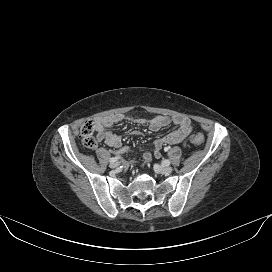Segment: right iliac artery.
Instances as JSON below:
<instances>
[{
  "mask_svg": "<svg viewBox=\"0 0 272 272\" xmlns=\"http://www.w3.org/2000/svg\"><path fill=\"white\" fill-rule=\"evenodd\" d=\"M127 149H128V148H125V149L119 151V152H118V156L110 158V159H109L110 163L116 162V161L120 158V154H122L123 151H125V150H127Z\"/></svg>",
  "mask_w": 272,
  "mask_h": 272,
  "instance_id": "obj_1",
  "label": "right iliac artery"
}]
</instances>
